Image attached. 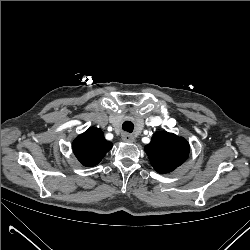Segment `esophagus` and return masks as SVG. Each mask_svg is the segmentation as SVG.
Returning <instances> with one entry per match:
<instances>
[{
  "mask_svg": "<svg viewBox=\"0 0 250 250\" xmlns=\"http://www.w3.org/2000/svg\"><path fill=\"white\" fill-rule=\"evenodd\" d=\"M122 140L125 142H133L135 140L134 136L128 133L122 135Z\"/></svg>",
  "mask_w": 250,
  "mask_h": 250,
  "instance_id": "34e87169",
  "label": "esophagus"
}]
</instances>
